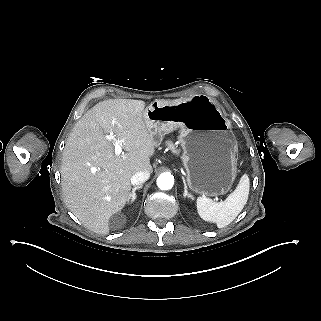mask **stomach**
<instances>
[{"label":"stomach","mask_w":321,"mask_h":321,"mask_svg":"<svg viewBox=\"0 0 321 321\" xmlns=\"http://www.w3.org/2000/svg\"><path fill=\"white\" fill-rule=\"evenodd\" d=\"M145 125L159 145L164 134L180 129L181 159L190 189L208 196L226 194L236 177L238 143L232 124L203 95L155 99L143 111Z\"/></svg>","instance_id":"1"}]
</instances>
